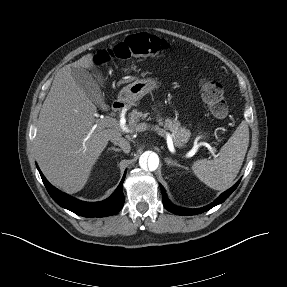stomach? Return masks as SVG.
<instances>
[{"label":"stomach","instance_id":"1","mask_svg":"<svg viewBox=\"0 0 287 287\" xmlns=\"http://www.w3.org/2000/svg\"><path fill=\"white\" fill-rule=\"evenodd\" d=\"M158 84L159 82L155 78L138 79L123 87L118 98L124 104L131 106L148 92L157 88Z\"/></svg>","mask_w":287,"mask_h":287}]
</instances>
